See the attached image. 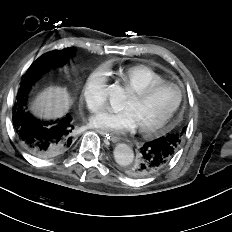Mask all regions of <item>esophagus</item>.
<instances>
[{
	"label": "esophagus",
	"mask_w": 232,
	"mask_h": 232,
	"mask_svg": "<svg viewBox=\"0 0 232 232\" xmlns=\"http://www.w3.org/2000/svg\"><path fill=\"white\" fill-rule=\"evenodd\" d=\"M97 133L101 134L105 139L112 141V142H117L118 138L117 137H113L111 134L102 131L100 129H94Z\"/></svg>",
	"instance_id": "obj_1"
}]
</instances>
